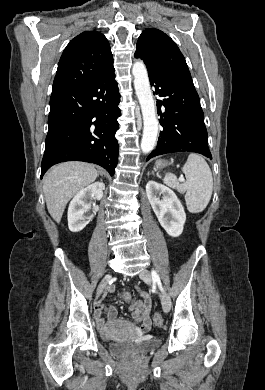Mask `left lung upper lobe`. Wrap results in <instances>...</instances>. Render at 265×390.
Returning a JSON list of instances; mask_svg holds the SVG:
<instances>
[{"instance_id":"5c2ea615","label":"left lung upper lobe","mask_w":265,"mask_h":390,"mask_svg":"<svg viewBox=\"0 0 265 390\" xmlns=\"http://www.w3.org/2000/svg\"><path fill=\"white\" fill-rule=\"evenodd\" d=\"M134 56L144 60L149 74L191 77L178 46L158 29L147 28L142 32Z\"/></svg>"}]
</instances>
